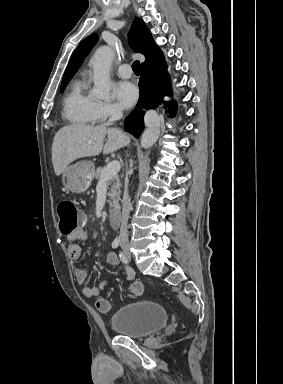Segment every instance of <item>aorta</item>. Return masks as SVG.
<instances>
[{"label":"aorta","mask_w":283,"mask_h":384,"mask_svg":"<svg viewBox=\"0 0 283 384\" xmlns=\"http://www.w3.org/2000/svg\"><path fill=\"white\" fill-rule=\"evenodd\" d=\"M113 57V50L109 46H102L96 50L91 59L94 71L92 94L96 98L108 99L110 97L112 84L109 72ZM144 122L146 129L141 137V146L148 149L158 140L161 122L158 114L152 110L145 114Z\"/></svg>","instance_id":"1"}]
</instances>
